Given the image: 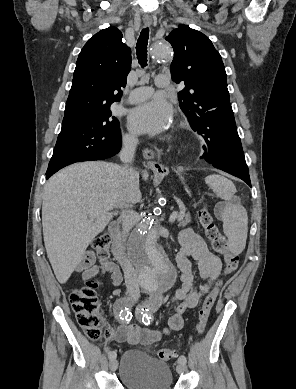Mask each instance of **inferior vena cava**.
Instances as JSON below:
<instances>
[{
  "instance_id": "inferior-vena-cava-1",
  "label": "inferior vena cava",
  "mask_w": 296,
  "mask_h": 389,
  "mask_svg": "<svg viewBox=\"0 0 296 389\" xmlns=\"http://www.w3.org/2000/svg\"><path fill=\"white\" fill-rule=\"evenodd\" d=\"M138 139L134 135H126L123 137V148L120 153V159L124 163L119 168V175L124 181H129L135 174L136 171L131 167V163L134 158V153ZM122 220V234L126 238L135 224V214L130 209H124L121 212ZM124 277L127 292L133 300H138L140 297L139 282L135 270L130 262L124 264Z\"/></svg>"
}]
</instances>
